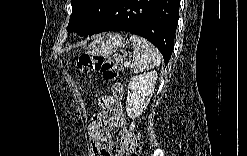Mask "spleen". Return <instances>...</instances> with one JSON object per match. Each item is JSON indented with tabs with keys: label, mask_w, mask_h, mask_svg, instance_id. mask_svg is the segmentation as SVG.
Wrapping results in <instances>:
<instances>
[{
	"label": "spleen",
	"mask_w": 247,
	"mask_h": 156,
	"mask_svg": "<svg viewBox=\"0 0 247 156\" xmlns=\"http://www.w3.org/2000/svg\"><path fill=\"white\" fill-rule=\"evenodd\" d=\"M130 39L133 46L131 68L134 73H140L145 69H152L160 65L161 54L154 45L137 35H132Z\"/></svg>",
	"instance_id": "spleen-1"
}]
</instances>
